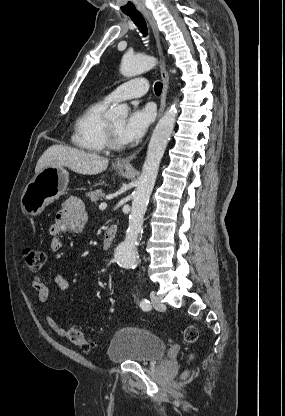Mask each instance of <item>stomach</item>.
I'll use <instances>...</instances> for the list:
<instances>
[{
	"label": "stomach",
	"instance_id": "1",
	"mask_svg": "<svg viewBox=\"0 0 285 416\" xmlns=\"http://www.w3.org/2000/svg\"><path fill=\"white\" fill-rule=\"evenodd\" d=\"M117 170H123V168H117ZM68 184L69 174L63 166L44 168L27 184L21 196L22 212L26 216H38L46 206L53 204L65 194Z\"/></svg>",
	"mask_w": 285,
	"mask_h": 416
}]
</instances>
